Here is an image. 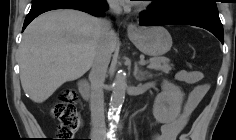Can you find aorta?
<instances>
[{
  "label": "aorta",
  "instance_id": "obj_1",
  "mask_svg": "<svg viewBox=\"0 0 236 140\" xmlns=\"http://www.w3.org/2000/svg\"><path fill=\"white\" fill-rule=\"evenodd\" d=\"M126 86L127 83L125 75L122 73L117 74L113 82V91L109 104V117L112 121L115 120L120 113V109L125 100Z\"/></svg>",
  "mask_w": 236,
  "mask_h": 140
}]
</instances>
